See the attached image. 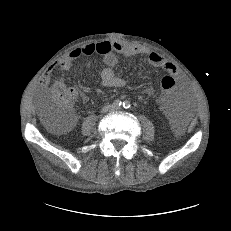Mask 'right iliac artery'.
<instances>
[{"label": "right iliac artery", "mask_w": 231, "mask_h": 231, "mask_svg": "<svg viewBox=\"0 0 231 231\" xmlns=\"http://www.w3.org/2000/svg\"><path fill=\"white\" fill-rule=\"evenodd\" d=\"M121 101L120 100H115L114 102H113V105L115 106V107H119L120 105H121Z\"/></svg>", "instance_id": "obj_1"}]
</instances>
